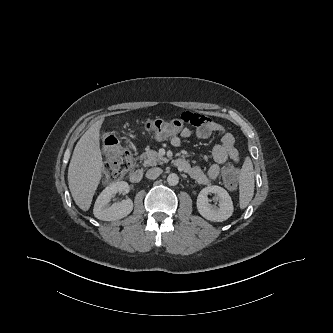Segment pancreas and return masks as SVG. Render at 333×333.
I'll use <instances>...</instances> for the list:
<instances>
[{"instance_id": "cf45deb5", "label": "pancreas", "mask_w": 333, "mask_h": 333, "mask_svg": "<svg viewBox=\"0 0 333 333\" xmlns=\"http://www.w3.org/2000/svg\"><path fill=\"white\" fill-rule=\"evenodd\" d=\"M140 158L143 160V166L145 167L156 166L157 164H162L168 161V159L153 150H147L140 156Z\"/></svg>"}]
</instances>
